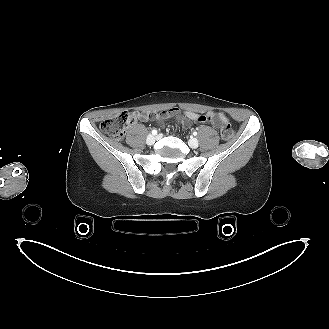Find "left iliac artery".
Segmentation results:
<instances>
[{"label": "left iliac artery", "instance_id": "1", "mask_svg": "<svg viewBox=\"0 0 329 329\" xmlns=\"http://www.w3.org/2000/svg\"><path fill=\"white\" fill-rule=\"evenodd\" d=\"M193 135H194V136H196V135H197V132H196V131H195V132H193Z\"/></svg>", "mask_w": 329, "mask_h": 329}]
</instances>
